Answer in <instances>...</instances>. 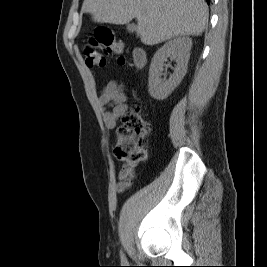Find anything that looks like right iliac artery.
<instances>
[{
	"label": "right iliac artery",
	"mask_w": 267,
	"mask_h": 267,
	"mask_svg": "<svg viewBox=\"0 0 267 267\" xmlns=\"http://www.w3.org/2000/svg\"><path fill=\"white\" fill-rule=\"evenodd\" d=\"M121 261L124 262V263L126 262V257L123 254V252H121Z\"/></svg>",
	"instance_id": "82829eb1"
}]
</instances>
